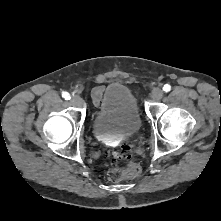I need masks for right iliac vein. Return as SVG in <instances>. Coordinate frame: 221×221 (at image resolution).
Masks as SVG:
<instances>
[{
	"label": "right iliac vein",
	"instance_id": "1",
	"mask_svg": "<svg viewBox=\"0 0 221 221\" xmlns=\"http://www.w3.org/2000/svg\"><path fill=\"white\" fill-rule=\"evenodd\" d=\"M71 103L74 106H77V107H82L84 105L83 99L80 96H78V95H73L72 96Z\"/></svg>",
	"mask_w": 221,
	"mask_h": 221
}]
</instances>
